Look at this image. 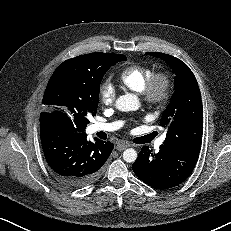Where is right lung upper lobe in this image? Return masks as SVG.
Here are the masks:
<instances>
[{
	"mask_svg": "<svg viewBox=\"0 0 231 231\" xmlns=\"http://www.w3.org/2000/svg\"><path fill=\"white\" fill-rule=\"evenodd\" d=\"M75 133H84V132H78V131H75V130H73Z\"/></svg>",
	"mask_w": 231,
	"mask_h": 231,
	"instance_id": "cb5924a9",
	"label": "right lung upper lobe"
}]
</instances>
